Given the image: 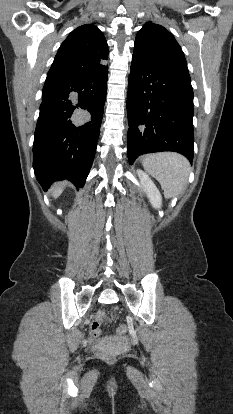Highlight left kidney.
Listing matches in <instances>:
<instances>
[{
    "instance_id": "left-kidney-1",
    "label": "left kidney",
    "mask_w": 233,
    "mask_h": 414,
    "mask_svg": "<svg viewBox=\"0 0 233 414\" xmlns=\"http://www.w3.org/2000/svg\"><path fill=\"white\" fill-rule=\"evenodd\" d=\"M137 173L152 206L154 208L160 207L162 204V197L154 182L144 171L137 170Z\"/></svg>"
}]
</instances>
